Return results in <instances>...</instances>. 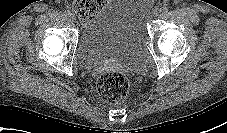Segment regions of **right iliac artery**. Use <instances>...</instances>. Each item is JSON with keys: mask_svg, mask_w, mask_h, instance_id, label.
<instances>
[{"mask_svg": "<svg viewBox=\"0 0 227 133\" xmlns=\"http://www.w3.org/2000/svg\"><path fill=\"white\" fill-rule=\"evenodd\" d=\"M64 15L69 17L71 15V12L69 10H65Z\"/></svg>", "mask_w": 227, "mask_h": 133, "instance_id": "obj_1", "label": "right iliac artery"}]
</instances>
